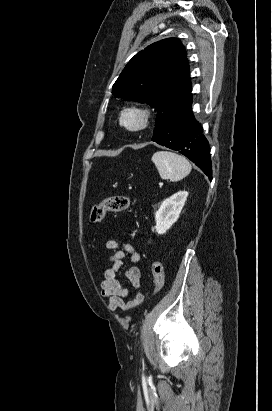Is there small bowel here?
<instances>
[{
	"label": "small bowel",
	"instance_id": "small-bowel-1",
	"mask_svg": "<svg viewBox=\"0 0 272 411\" xmlns=\"http://www.w3.org/2000/svg\"><path fill=\"white\" fill-rule=\"evenodd\" d=\"M105 249L113 252L108 258L109 266L105 269L103 280L100 284L102 296L108 299V308L112 311L136 308L144 299L140 291V268L133 265L125 271L126 279L138 290L134 299L128 302L125 301V298L128 296V289L118 281L117 274L123 265L126 255H129L132 263H138L140 261L139 252L131 244L119 240H108L105 243Z\"/></svg>",
	"mask_w": 272,
	"mask_h": 411
}]
</instances>
